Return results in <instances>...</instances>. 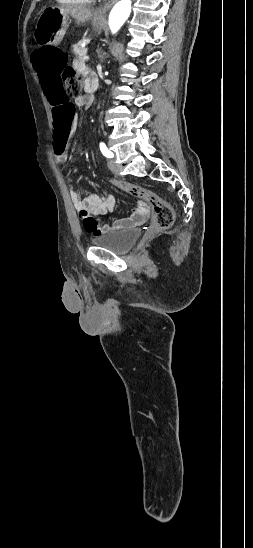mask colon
<instances>
[{"instance_id": "1", "label": "colon", "mask_w": 253, "mask_h": 548, "mask_svg": "<svg viewBox=\"0 0 253 548\" xmlns=\"http://www.w3.org/2000/svg\"><path fill=\"white\" fill-rule=\"evenodd\" d=\"M66 62V54L56 47H43L33 53V63L40 73L43 95L47 96V104L51 105L54 131L52 147L57 157L63 156L64 143L74 131L76 114L71 97L79 96L81 91V79L73 69L66 67ZM64 80L67 94L64 89ZM108 180L111 183H117L123 192L141 199L152 207L153 224L157 231L167 230L173 225L174 210L161 197L140 186L119 182L118 176H111ZM110 187L114 189L116 186L112 184Z\"/></svg>"}]
</instances>
